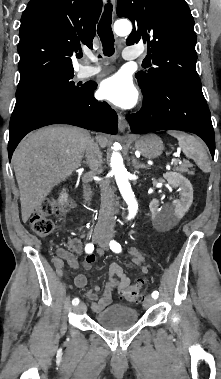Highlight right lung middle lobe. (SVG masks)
I'll return each mask as SVG.
<instances>
[{
  "mask_svg": "<svg viewBox=\"0 0 221 379\" xmlns=\"http://www.w3.org/2000/svg\"><path fill=\"white\" fill-rule=\"evenodd\" d=\"M73 70H57L28 77L19 82L16 104L10 120V128L25 120L38 109L66 102L81 94L86 84L72 81Z\"/></svg>",
  "mask_w": 221,
  "mask_h": 379,
  "instance_id": "right-lung-middle-lobe-1",
  "label": "right lung middle lobe"
}]
</instances>
